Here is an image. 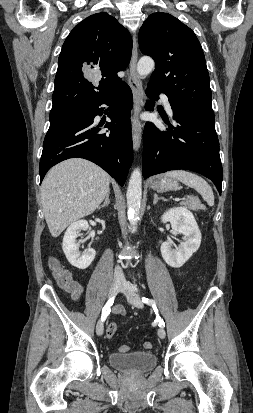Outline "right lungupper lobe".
<instances>
[{"instance_id": "cb5924a9", "label": "right lung upper lobe", "mask_w": 253, "mask_h": 413, "mask_svg": "<svg viewBox=\"0 0 253 413\" xmlns=\"http://www.w3.org/2000/svg\"><path fill=\"white\" fill-rule=\"evenodd\" d=\"M131 52L130 33L105 12L76 25L59 55L50 117L79 112L118 89L124 82L117 73L128 66Z\"/></svg>"}]
</instances>
